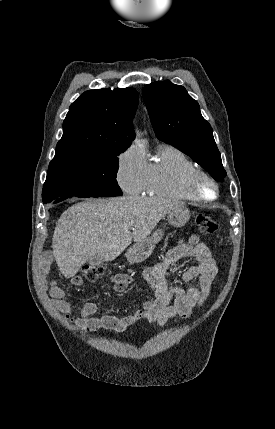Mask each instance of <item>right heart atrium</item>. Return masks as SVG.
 Instances as JSON below:
<instances>
[{
	"label": "right heart atrium",
	"mask_w": 275,
	"mask_h": 429,
	"mask_svg": "<svg viewBox=\"0 0 275 429\" xmlns=\"http://www.w3.org/2000/svg\"><path fill=\"white\" fill-rule=\"evenodd\" d=\"M116 179L127 193L136 195L144 191L147 180V162L142 153L128 147L117 156Z\"/></svg>",
	"instance_id": "1"
}]
</instances>
